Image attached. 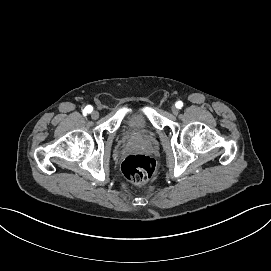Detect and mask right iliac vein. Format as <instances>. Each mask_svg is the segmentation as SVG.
<instances>
[{
  "mask_svg": "<svg viewBox=\"0 0 271 271\" xmlns=\"http://www.w3.org/2000/svg\"><path fill=\"white\" fill-rule=\"evenodd\" d=\"M91 117L93 118V119H97L98 117H99V113H98V111H92V113H91Z\"/></svg>",
  "mask_w": 271,
  "mask_h": 271,
  "instance_id": "right-iliac-vein-1",
  "label": "right iliac vein"
}]
</instances>
